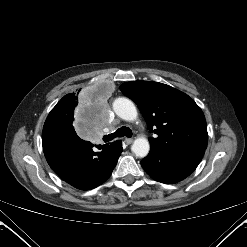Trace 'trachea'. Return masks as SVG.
I'll list each match as a JSON object with an SVG mask.
<instances>
[{
    "label": "trachea",
    "mask_w": 247,
    "mask_h": 247,
    "mask_svg": "<svg viewBox=\"0 0 247 247\" xmlns=\"http://www.w3.org/2000/svg\"><path fill=\"white\" fill-rule=\"evenodd\" d=\"M128 137L131 138L132 137V130L126 126H123L121 128H119L116 132L109 134V135H104L103 136V141L104 142H109L117 137Z\"/></svg>",
    "instance_id": "1"
}]
</instances>
